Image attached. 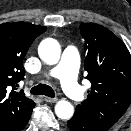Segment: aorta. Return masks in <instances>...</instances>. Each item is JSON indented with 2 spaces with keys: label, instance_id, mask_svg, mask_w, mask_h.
Segmentation results:
<instances>
[{
  "label": "aorta",
  "instance_id": "1",
  "mask_svg": "<svg viewBox=\"0 0 131 131\" xmlns=\"http://www.w3.org/2000/svg\"><path fill=\"white\" fill-rule=\"evenodd\" d=\"M38 53L45 63L54 65L60 59V45L55 39H44L39 45ZM55 113L60 119H70L73 116L74 108L70 102L60 100L55 106Z\"/></svg>",
  "mask_w": 131,
  "mask_h": 131
}]
</instances>
